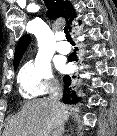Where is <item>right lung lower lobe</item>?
<instances>
[{
  "label": "right lung lower lobe",
  "mask_w": 117,
  "mask_h": 136,
  "mask_svg": "<svg viewBox=\"0 0 117 136\" xmlns=\"http://www.w3.org/2000/svg\"><path fill=\"white\" fill-rule=\"evenodd\" d=\"M69 61H77V58L75 55L69 56ZM64 94H63V102L64 103H71L73 101H78L79 98L77 97L76 93L73 91V88L75 87L76 77L75 76H64Z\"/></svg>",
  "instance_id": "right-lung-lower-lobe-1"
}]
</instances>
